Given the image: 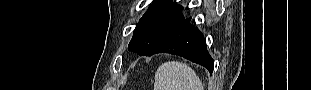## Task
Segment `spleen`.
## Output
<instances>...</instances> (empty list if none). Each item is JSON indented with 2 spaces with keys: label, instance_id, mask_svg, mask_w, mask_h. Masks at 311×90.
<instances>
[{
  "label": "spleen",
  "instance_id": "3e777b00",
  "mask_svg": "<svg viewBox=\"0 0 311 90\" xmlns=\"http://www.w3.org/2000/svg\"><path fill=\"white\" fill-rule=\"evenodd\" d=\"M154 90H204V86L190 66L169 61L157 69Z\"/></svg>",
  "mask_w": 311,
  "mask_h": 90
}]
</instances>
